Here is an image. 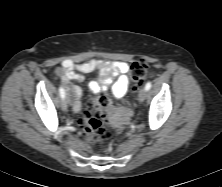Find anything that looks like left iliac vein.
I'll list each match as a JSON object with an SVG mask.
<instances>
[{
	"label": "left iliac vein",
	"mask_w": 222,
	"mask_h": 187,
	"mask_svg": "<svg viewBox=\"0 0 222 187\" xmlns=\"http://www.w3.org/2000/svg\"><path fill=\"white\" fill-rule=\"evenodd\" d=\"M138 97H139V101L143 102L146 99V97H147V90L145 88L141 89L139 91Z\"/></svg>",
	"instance_id": "obj_1"
}]
</instances>
